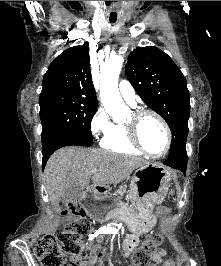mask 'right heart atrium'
I'll use <instances>...</instances> for the list:
<instances>
[{
  "mask_svg": "<svg viewBox=\"0 0 221 266\" xmlns=\"http://www.w3.org/2000/svg\"><path fill=\"white\" fill-rule=\"evenodd\" d=\"M111 121L104 108L100 107L96 110L90 122V130L95 138L106 135L111 128Z\"/></svg>",
  "mask_w": 221,
  "mask_h": 266,
  "instance_id": "right-heart-atrium-1",
  "label": "right heart atrium"
}]
</instances>
